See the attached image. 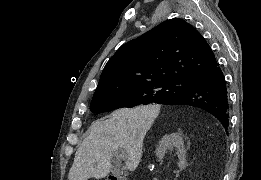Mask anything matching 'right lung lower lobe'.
I'll return each instance as SVG.
<instances>
[{
    "label": "right lung lower lobe",
    "mask_w": 261,
    "mask_h": 180,
    "mask_svg": "<svg viewBox=\"0 0 261 180\" xmlns=\"http://www.w3.org/2000/svg\"><path fill=\"white\" fill-rule=\"evenodd\" d=\"M163 104L189 105L214 115L225 128L229 127V101L226 82L219 65L199 72L190 81L187 91Z\"/></svg>",
    "instance_id": "obj_1"
}]
</instances>
